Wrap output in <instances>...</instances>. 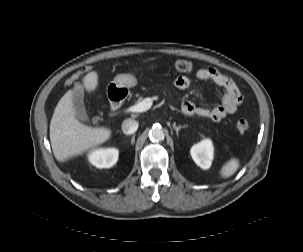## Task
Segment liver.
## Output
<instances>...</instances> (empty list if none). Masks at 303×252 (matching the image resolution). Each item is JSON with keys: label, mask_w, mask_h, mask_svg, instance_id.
<instances>
[{"label": "liver", "mask_w": 303, "mask_h": 252, "mask_svg": "<svg viewBox=\"0 0 303 252\" xmlns=\"http://www.w3.org/2000/svg\"><path fill=\"white\" fill-rule=\"evenodd\" d=\"M97 86L96 71L88 73L83 78V87L88 92L94 91ZM78 92H82L81 85H76L60 99L50 122L51 147L59 162L103 144L111 135V130L107 127L93 128L82 124L76 118L73 96L79 95Z\"/></svg>", "instance_id": "liver-1"}]
</instances>
